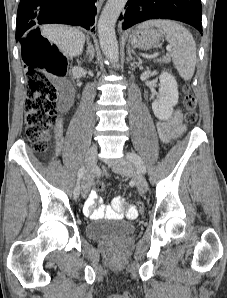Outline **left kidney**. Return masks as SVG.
I'll use <instances>...</instances> for the list:
<instances>
[{"mask_svg": "<svg viewBox=\"0 0 227 298\" xmlns=\"http://www.w3.org/2000/svg\"><path fill=\"white\" fill-rule=\"evenodd\" d=\"M160 88L157 100L152 103V110L160 120L168 119L173 107L178 103V85L173 75L163 71L159 76Z\"/></svg>", "mask_w": 227, "mask_h": 298, "instance_id": "1", "label": "left kidney"}]
</instances>
